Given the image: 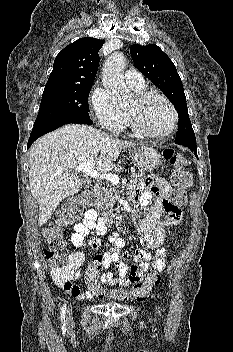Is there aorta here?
Here are the masks:
<instances>
[{
  "label": "aorta",
  "mask_w": 233,
  "mask_h": 352,
  "mask_svg": "<svg viewBox=\"0 0 233 352\" xmlns=\"http://www.w3.org/2000/svg\"><path fill=\"white\" fill-rule=\"evenodd\" d=\"M125 56L120 52H114L105 61L102 71L104 88L120 104L125 105L133 98L132 92L126 87L123 78Z\"/></svg>",
  "instance_id": "762f6f07"
}]
</instances>
